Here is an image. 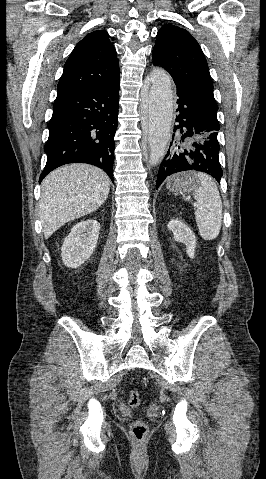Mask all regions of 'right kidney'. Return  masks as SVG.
Instances as JSON below:
<instances>
[{
    "mask_svg": "<svg viewBox=\"0 0 266 479\" xmlns=\"http://www.w3.org/2000/svg\"><path fill=\"white\" fill-rule=\"evenodd\" d=\"M99 230L100 224L94 219L81 221L73 226L61 248L65 266L78 268L90 258L97 246Z\"/></svg>",
    "mask_w": 266,
    "mask_h": 479,
    "instance_id": "1",
    "label": "right kidney"
}]
</instances>
